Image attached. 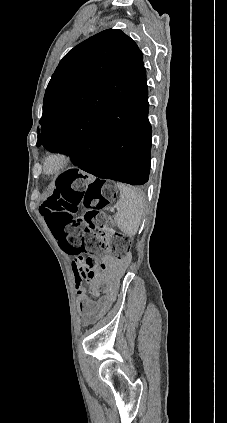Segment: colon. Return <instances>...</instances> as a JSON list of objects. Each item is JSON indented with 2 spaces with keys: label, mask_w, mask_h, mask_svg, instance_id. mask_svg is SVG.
<instances>
[{
  "label": "colon",
  "mask_w": 227,
  "mask_h": 423,
  "mask_svg": "<svg viewBox=\"0 0 227 423\" xmlns=\"http://www.w3.org/2000/svg\"><path fill=\"white\" fill-rule=\"evenodd\" d=\"M115 196L111 186L99 181L89 182L76 172L67 171L57 178L56 186L41 205L40 212L66 253L94 256L106 248L103 235L109 232L111 251L117 260H125L130 256L131 240L113 230L109 216L103 211ZM80 206L87 209L84 216L78 215ZM72 267L76 283H95L96 272L91 257L77 258ZM95 291L102 294L99 287Z\"/></svg>",
  "instance_id": "obj_1"
}]
</instances>
